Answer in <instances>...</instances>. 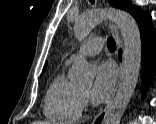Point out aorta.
<instances>
[{
    "label": "aorta",
    "mask_w": 156,
    "mask_h": 124,
    "mask_svg": "<svg viewBox=\"0 0 156 124\" xmlns=\"http://www.w3.org/2000/svg\"><path fill=\"white\" fill-rule=\"evenodd\" d=\"M105 19H110L116 23L124 44L123 67L119 87L105 119V124H120L139 77L142 58L141 36L135 19L129 13L118 9H95L75 22V37L78 40L85 39L90 31ZM93 76V69L85 59L76 62L71 75L73 80L89 82L93 79Z\"/></svg>",
    "instance_id": "762f6f07"
}]
</instances>
